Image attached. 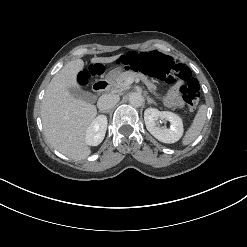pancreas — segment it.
I'll list each match as a JSON object with an SVG mask.
<instances>
[{
	"instance_id": "1",
	"label": "pancreas",
	"mask_w": 247,
	"mask_h": 247,
	"mask_svg": "<svg viewBox=\"0 0 247 247\" xmlns=\"http://www.w3.org/2000/svg\"><path fill=\"white\" fill-rule=\"evenodd\" d=\"M129 78L140 79L144 82V84L148 87L150 91L154 92L156 90V86L150 80H148L146 76L134 72L121 73L117 77L115 83L113 84V90L115 92H119L121 89H123L126 86V81Z\"/></svg>"
}]
</instances>
